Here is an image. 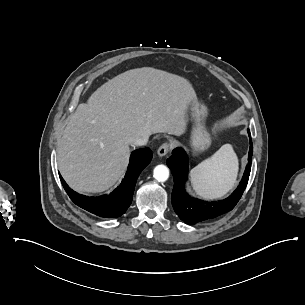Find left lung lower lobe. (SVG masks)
I'll return each mask as SVG.
<instances>
[{
	"instance_id": "0a47b994",
	"label": "left lung lower lobe",
	"mask_w": 305,
	"mask_h": 305,
	"mask_svg": "<svg viewBox=\"0 0 305 305\" xmlns=\"http://www.w3.org/2000/svg\"><path fill=\"white\" fill-rule=\"evenodd\" d=\"M250 138V149L248 155V165L244 176L234 193L228 198L218 202H206L190 197L185 189V181L188 172V157L182 148H176L172 156L167 159V165L171 169L174 178V188L172 191V205L179 218L187 224L193 225L201 221L220 216L231 211L240 200L251 170L253 146L250 131L247 130Z\"/></svg>"
}]
</instances>
